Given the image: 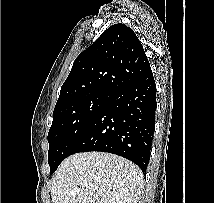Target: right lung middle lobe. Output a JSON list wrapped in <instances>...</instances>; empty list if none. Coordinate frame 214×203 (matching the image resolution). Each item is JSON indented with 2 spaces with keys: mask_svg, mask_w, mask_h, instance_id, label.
<instances>
[{
  "mask_svg": "<svg viewBox=\"0 0 214 203\" xmlns=\"http://www.w3.org/2000/svg\"><path fill=\"white\" fill-rule=\"evenodd\" d=\"M108 98L107 93H93L54 109L53 122L48 133L50 174L69 156L72 146L91 126Z\"/></svg>",
  "mask_w": 214,
  "mask_h": 203,
  "instance_id": "right-lung-middle-lobe-1",
  "label": "right lung middle lobe"
}]
</instances>
